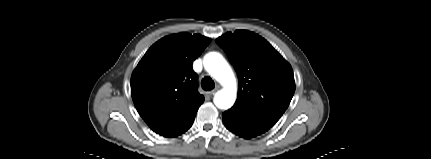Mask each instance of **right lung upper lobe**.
I'll list each match as a JSON object with an SVG mask.
<instances>
[{
  "label": "right lung upper lobe",
  "instance_id": "right-lung-upper-lobe-1",
  "mask_svg": "<svg viewBox=\"0 0 431 159\" xmlns=\"http://www.w3.org/2000/svg\"><path fill=\"white\" fill-rule=\"evenodd\" d=\"M211 39L179 33L157 41L131 76V94L140 116L156 133L176 137L193 124L204 97L197 91L193 61Z\"/></svg>",
  "mask_w": 431,
  "mask_h": 159
}]
</instances>
